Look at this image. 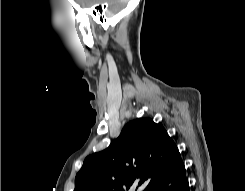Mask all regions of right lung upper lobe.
I'll return each instance as SVG.
<instances>
[{
  "instance_id": "right-lung-upper-lobe-1",
  "label": "right lung upper lobe",
  "mask_w": 245,
  "mask_h": 191,
  "mask_svg": "<svg viewBox=\"0 0 245 191\" xmlns=\"http://www.w3.org/2000/svg\"><path fill=\"white\" fill-rule=\"evenodd\" d=\"M166 130L150 118L130 121L105 150L89 155L75 178L74 191H128L137 181L152 191L183 166Z\"/></svg>"
}]
</instances>
